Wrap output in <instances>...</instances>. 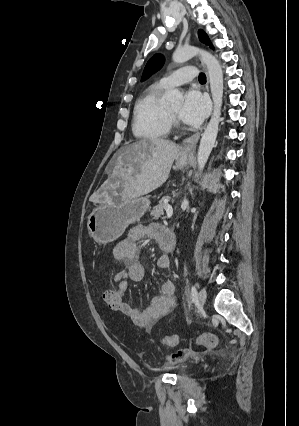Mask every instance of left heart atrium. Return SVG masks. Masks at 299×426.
Instances as JSON below:
<instances>
[{
    "instance_id": "left-heart-atrium-1",
    "label": "left heart atrium",
    "mask_w": 299,
    "mask_h": 426,
    "mask_svg": "<svg viewBox=\"0 0 299 426\" xmlns=\"http://www.w3.org/2000/svg\"><path fill=\"white\" fill-rule=\"evenodd\" d=\"M207 111L208 103L204 96L196 90H189L185 94L179 117L186 124L198 125L203 121Z\"/></svg>"
}]
</instances>
